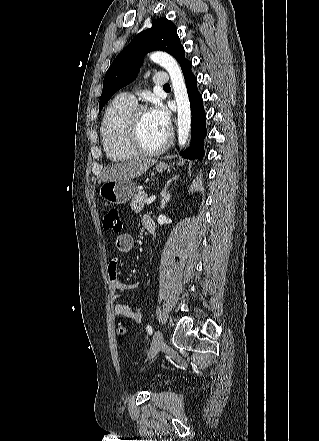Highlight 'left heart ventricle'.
<instances>
[{"label": "left heart ventricle", "mask_w": 319, "mask_h": 441, "mask_svg": "<svg viewBox=\"0 0 319 441\" xmlns=\"http://www.w3.org/2000/svg\"><path fill=\"white\" fill-rule=\"evenodd\" d=\"M139 137L144 147L154 149L164 142L167 133L158 127L150 112H145L140 117Z\"/></svg>", "instance_id": "b2bd125f"}]
</instances>
